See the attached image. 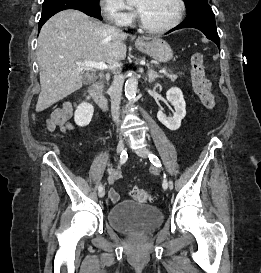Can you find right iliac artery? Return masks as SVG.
Segmentation results:
<instances>
[{
    "instance_id": "obj_1",
    "label": "right iliac artery",
    "mask_w": 261,
    "mask_h": 273,
    "mask_svg": "<svg viewBox=\"0 0 261 273\" xmlns=\"http://www.w3.org/2000/svg\"><path fill=\"white\" fill-rule=\"evenodd\" d=\"M128 155L126 151H123L120 155V163H119V167L124 164L127 161ZM98 190L101 191L103 190V186L102 184L99 185Z\"/></svg>"
}]
</instances>
